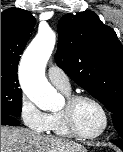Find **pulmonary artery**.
Listing matches in <instances>:
<instances>
[{
  "instance_id": "1",
  "label": "pulmonary artery",
  "mask_w": 123,
  "mask_h": 152,
  "mask_svg": "<svg viewBox=\"0 0 123 152\" xmlns=\"http://www.w3.org/2000/svg\"><path fill=\"white\" fill-rule=\"evenodd\" d=\"M49 81L63 91L70 90V81L67 74L57 66H50L47 70Z\"/></svg>"
}]
</instances>
